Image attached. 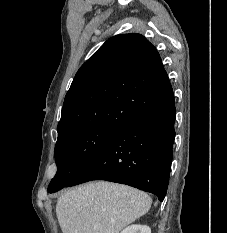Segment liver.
Masks as SVG:
<instances>
[{"label":"liver","instance_id":"liver-1","mask_svg":"<svg viewBox=\"0 0 227 233\" xmlns=\"http://www.w3.org/2000/svg\"><path fill=\"white\" fill-rule=\"evenodd\" d=\"M151 204L145 192L97 181L65 192L57 201L56 214L62 233H120Z\"/></svg>","mask_w":227,"mask_h":233}]
</instances>
